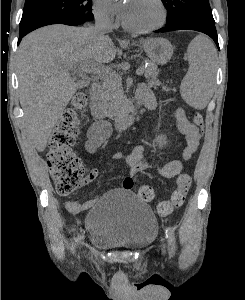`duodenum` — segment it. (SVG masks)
Wrapping results in <instances>:
<instances>
[{
  "label": "duodenum",
  "instance_id": "1",
  "mask_svg": "<svg viewBox=\"0 0 245 300\" xmlns=\"http://www.w3.org/2000/svg\"><path fill=\"white\" fill-rule=\"evenodd\" d=\"M143 106L149 108L150 103L148 96L144 92L137 91L132 108L115 119V127L119 130H122L131 126L136 120ZM91 112L95 121H107V114L101 101V86L99 83H94L92 86Z\"/></svg>",
  "mask_w": 245,
  "mask_h": 300
}]
</instances>
